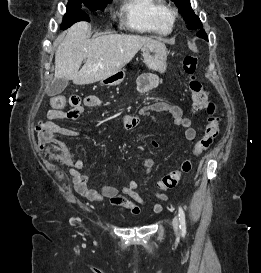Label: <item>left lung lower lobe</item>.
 Returning a JSON list of instances; mask_svg holds the SVG:
<instances>
[{
	"label": "left lung lower lobe",
	"instance_id": "left-lung-lower-lobe-1",
	"mask_svg": "<svg viewBox=\"0 0 261 273\" xmlns=\"http://www.w3.org/2000/svg\"><path fill=\"white\" fill-rule=\"evenodd\" d=\"M197 34H198L199 37H202V38H204L206 40L208 39V37H207V35H206V33H205V31L203 29H201Z\"/></svg>",
	"mask_w": 261,
	"mask_h": 273
}]
</instances>
